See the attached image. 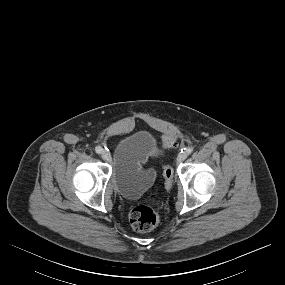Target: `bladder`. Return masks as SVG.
I'll return each mask as SVG.
<instances>
[{"mask_svg":"<svg viewBox=\"0 0 285 285\" xmlns=\"http://www.w3.org/2000/svg\"><path fill=\"white\" fill-rule=\"evenodd\" d=\"M159 140L150 131L139 129L120 137L114 145L111 161L112 183L124 198L134 199L148 191L156 173L144 163L158 152Z\"/></svg>","mask_w":285,"mask_h":285,"instance_id":"obj_1","label":"bladder"}]
</instances>
